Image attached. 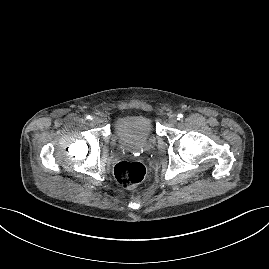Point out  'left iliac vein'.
<instances>
[{"label":"left iliac vein","instance_id":"1","mask_svg":"<svg viewBox=\"0 0 269 269\" xmlns=\"http://www.w3.org/2000/svg\"><path fill=\"white\" fill-rule=\"evenodd\" d=\"M168 123H169L170 125H174V124H176V123H177V117H176L175 115L170 116V117H169V120H168Z\"/></svg>","mask_w":269,"mask_h":269}]
</instances>
